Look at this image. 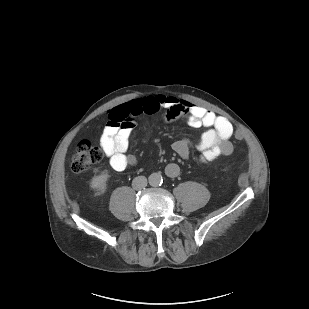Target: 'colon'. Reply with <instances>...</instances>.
<instances>
[{
    "label": "colon",
    "instance_id": "1",
    "mask_svg": "<svg viewBox=\"0 0 309 309\" xmlns=\"http://www.w3.org/2000/svg\"><path fill=\"white\" fill-rule=\"evenodd\" d=\"M121 124L134 125L133 118L130 116H125L122 119ZM236 139H242V133L237 131L235 133ZM102 151L92 145L89 141L83 140L78 143L76 150L72 156L71 169L74 173H82L90 169L93 165L102 160Z\"/></svg>",
    "mask_w": 309,
    "mask_h": 309
}]
</instances>
